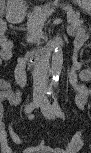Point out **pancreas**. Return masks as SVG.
I'll return each instance as SVG.
<instances>
[{
    "instance_id": "cf45deb5",
    "label": "pancreas",
    "mask_w": 91,
    "mask_h": 153,
    "mask_svg": "<svg viewBox=\"0 0 91 153\" xmlns=\"http://www.w3.org/2000/svg\"><path fill=\"white\" fill-rule=\"evenodd\" d=\"M67 18L69 23L72 25L73 29H77L81 26L82 21L79 19V16L76 15L70 8L66 7ZM53 11L50 5H45L42 7H37L33 10L32 13L28 16L27 22V42L36 43L39 42L40 34L42 33V28L47 16Z\"/></svg>"
}]
</instances>
